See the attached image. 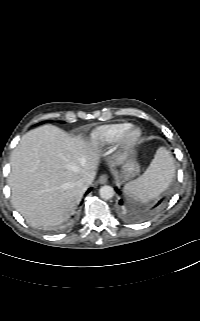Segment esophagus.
Masks as SVG:
<instances>
[{"instance_id":"34e87169","label":"esophagus","mask_w":200,"mask_h":321,"mask_svg":"<svg viewBox=\"0 0 200 321\" xmlns=\"http://www.w3.org/2000/svg\"><path fill=\"white\" fill-rule=\"evenodd\" d=\"M98 181H99L100 184H106L108 182V175L107 174H102L99 177Z\"/></svg>"}]
</instances>
